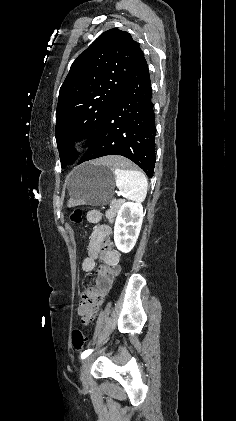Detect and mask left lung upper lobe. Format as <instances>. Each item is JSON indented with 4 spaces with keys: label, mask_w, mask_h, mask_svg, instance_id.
<instances>
[{
    "label": "left lung upper lobe",
    "mask_w": 236,
    "mask_h": 421,
    "mask_svg": "<svg viewBox=\"0 0 236 421\" xmlns=\"http://www.w3.org/2000/svg\"><path fill=\"white\" fill-rule=\"evenodd\" d=\"M140 47L117 28L102 33L72 63L62 84L56 109V141L61 162L78 159L72 143L97 132L120 94ZM67 162L65 163V161Z\"/></svg>",
    "instance_id": "left-lung-upper-lobe-1"
}]
</instances>
